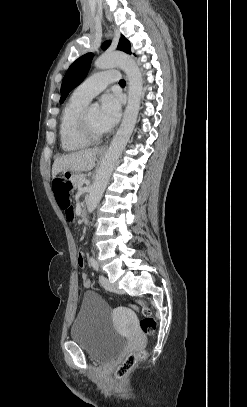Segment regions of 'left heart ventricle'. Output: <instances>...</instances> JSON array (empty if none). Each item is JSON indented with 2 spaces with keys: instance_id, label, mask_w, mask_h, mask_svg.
I'll list each match as a JSON object with an SVG mask.
<instances>
[{
  "instance_id": "1",
  "label": "left heart ventricle",
  "mask_w": 247,
  "mask_h": 407,
  "mask_svg": "<svg viewBox=\"0 0 247 407\" xmlns=\"http://www.w3.org/2000/svg\"><path fill=\"white\" fill-rule=\"evenodd\" d=\"M86 116L91 128L95 132L106 131L104 126L99 121V110L97 108H87Z\"/></svg>"
}]
</instances>
